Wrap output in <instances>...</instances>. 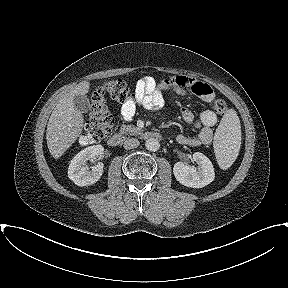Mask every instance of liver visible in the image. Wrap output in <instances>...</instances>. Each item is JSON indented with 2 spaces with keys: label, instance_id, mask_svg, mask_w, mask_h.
I'll list each match as a JSON object with an SVG mask.
<instances>
[{
  "label": "liver",
  "instance_id": "1",
  "mask_svg": "<svg viewBox=\"0 0 288 288\" xmlns=\"http://www.w3.org/2000/svg\"><path fill=\"white\" fill-rule=\"evenodd\" d=\"M90 83L80 82L68 91L51 113L47 124L46 140L53 158H60L81 135L84 126L82 112L74 106V96L88 93Z\"/></svg>",
  "mask_w": 288,
  "mask_h": 288
}]
</instances>
